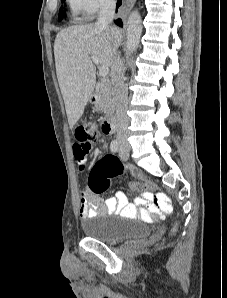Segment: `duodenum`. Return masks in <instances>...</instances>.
Listing matches in <instances>:
<instances>
[{
  "label": "duodenum",
  "instance_id": "duodenum-1",
  "mask_svg": "<svg viewBox=\"0 0 227 298\" xmlns=\"http://www.w3.org/2000/svg\"><path fill=\"white\" fill-rule=\"evenodd\" d=\"M90 100L95 103L97 96L95 93L91 94ZM116 129V118L114 115H109L102 123V131L104 134H112Z\"/></svg>",
  "mask_w": 227,
  "mask_h": 298
}]
</instances>
